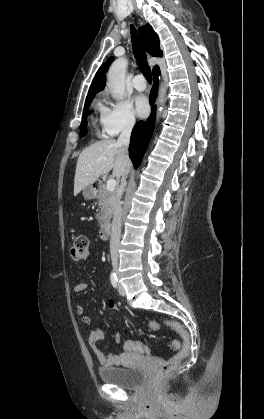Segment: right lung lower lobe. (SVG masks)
Listing matches in <instances>:
<instances>
[{"label": "right lung lower lobe", "instance_id": "obj_1", "mask_svg": "<svg viewBox=\"0 0 264 419\" xmlns=\"http://www.w3.org/2000/svg\"><path fill=\"white\" fill-rule=\"evenodd\" d=\"M159 75L160 70L154 72L155 83L150 93V105L152 106L151 115L147 120L137 122L131 134L129 154L135 169H137L141 162L154 129L156 114V105L154 102L157 97Z\"/></svg>", "mask_w": 264, "mask_h": 419}]
</instances>
